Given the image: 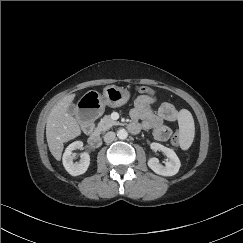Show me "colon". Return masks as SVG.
<instances>
[{
  "instance_id": "1",
  "label": "colon",
  "mask_w": 243,
  "mask_h": 243,
  "mask_svg": "<svg viewBox=\"0 0 243 243\" xmlns=\"http://www.w3.org/2000/svg\"><path fill=\"white\" fill-rule=\"evenodd\" d=\"M136 91L141 93L142 95H146V96H149V97L155 96V90L151 87H148V86H138V87H136ZM172 143L174 145L178 144V137L176 135L173 136Z\"/></svg>"
}]
</instances>
